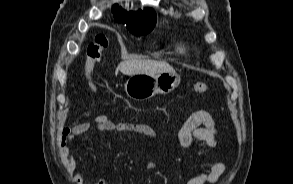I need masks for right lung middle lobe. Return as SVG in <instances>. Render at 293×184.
I'll return each mask as SVG.
<instances>
[{"instance_id":"dd1d6c3e","label":"right lung middle lobe","mask_w":293,"mask_h":184,"mask_svg":"<svg viewBox=\"0 0 293 184\" xmlns=\"http://www.w3.org/2000/svg\"><path fill=\"white\" fill-rule=\"evenodd\" d=\"M153 27H154V25L144 26V25H137V24H132V25L127 26L129 31L132 34L137 35V36L148 34L153 29Z\"/></svg>"}]
</instances>
